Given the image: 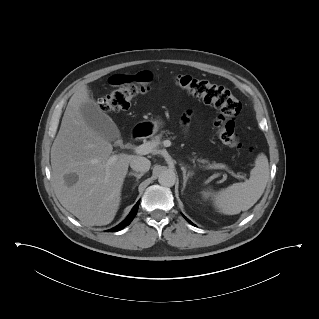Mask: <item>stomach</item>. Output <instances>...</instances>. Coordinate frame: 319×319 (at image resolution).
<instances>
[{"label": "stomach", "instance_id": "obj_1", "mask_svg": "<svg viewBox=\"0 0 319 319\" xmlns=\"http://www.w3.org/2000/svg\"><path fill=\"white\" fill-rule=\"evenodd\" d=\"M152 124V131L153 133L157 132L159 128L163 127L164 121L160 117H156L150 120Z\"/></svg>", "mask_w": 319, "mask_h": 319}]
</instances>
